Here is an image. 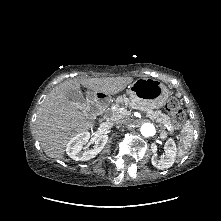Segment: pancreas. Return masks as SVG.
<instances>
[{"label": "pancreas", "mask_w": 221, "mask_h": 221, "mask_svg": "<svg viewBox=\"0 0 221 221\" xmlns=\"http://www.w3.org/2000/svg\"><path fill=\"white\" fill-rule=\"evenodd\" d=\"M122 106L140 110L144 112L146 116L150 119L155 120L156 122L164 125L166 128H168L170 132H173L174 130L171 118L168 115L161 113L160 111H153L152 109L146 106H142L137 102L130 100L125 95L117 97V99L115 100V105L111 106L105 111V116L110 117L112 120L122 118L124 114L119 113V109Z\"/></svg>", "instance_id": "cf45deb5"}]
</instances>
